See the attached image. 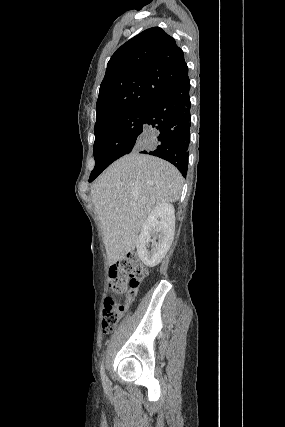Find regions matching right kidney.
<instances>
[{
	"label": "right kidney",
	"mask_w": 285,
	"mask_h": 427,
	"mask_svg": "<svg viewBox=\"0 0 285 427\" xmlns=\"http://www.w3.org/2000/svg\"><path fill=\"white\" fill-rule=\"evenodd\" d=\"M174 233L175 210L173 205L170 203L157 205L142 225L137 241L138 257L148 267L158 265L169 250ZM150 246L151 250H149Z\"/></svg>",
	"instance_id": "obj_1"
}]
</instances>
